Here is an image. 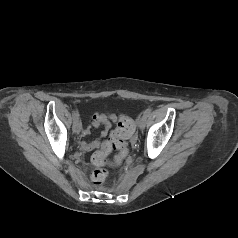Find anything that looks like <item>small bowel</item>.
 <instances>
[{
    "mask_svg": "<svg viewBox=\"0 0 238 238\" xmlns=\"http://www.w3.org/2000/svg\"><path fill=\"white\" fill-rule=\"evenodd\" d=\"M116 120H117V117L114 114L95 113L92 116L91 123L96 128L103 127V130L100 132L99 137L96 138L95 140L90 142H82L81 148L85 151H91L98 148L99 146H101V148L104 147L107 144V141L101 143V140L107 136L108 131L112 125V122H115ZM88 134H89V130L87 129L84 130L83 135H88Z\"/></svg>",
    "mask_w": 238,
    "mask_h": 238,
    "instance_id": "1",
    "label": "small bowel"
}]
</instances>
